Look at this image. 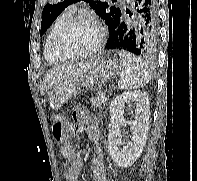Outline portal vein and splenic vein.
<instances>
[{"label": "portal vein and splenic vein", "mask_w": 197, "mask_h": 181, "mask_svg": "<svg viewBox=\"0 0 197 181\" xmlns=\"http://www.w3.org/2000/svg\"><path fill=\"white\" fill-rule=\"evenodd\" d=\"M101 101L102 103H105L107 101V98L105 97V95H101Z\"/></svg>", "instance_id": "18ae733b"}]
</instances>
